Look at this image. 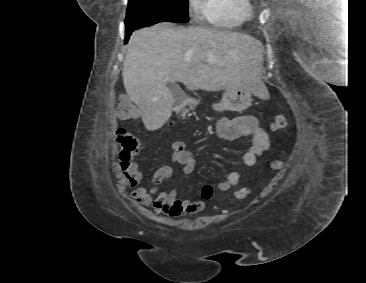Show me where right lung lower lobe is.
Segmentation results:
<instances>
[{
	"label": "right lung lower lobe",
	"mask_w": 366,
	"mask_h": 283,
	"mask_svg": "<svg viewBox=\"0 0 366 283\" xmlns=\"http://www.w3.org/2000/svg\"><path fill=\"white\" fill-rule=\"evenodd\" d=\"M134 30H126L125 33H126V36H125V43H127L128 41V38L129 36L131 35V33L133 32Z\"/></svg>",
	"instance_id": "obj_1"
}]
</instances>
